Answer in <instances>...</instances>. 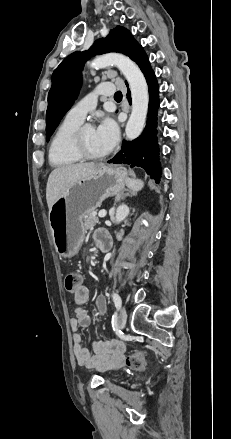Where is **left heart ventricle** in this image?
I'll return each mask as SVG.
<instances>
[{
    "label": "left heart ventricle",
    "mask_w": 231,
    "mask_h": 439,
    "mask_svg": "<svg viewBox=\"0 0 231 439\" xmlns=\"http://www.w3.org/2000/svg\"><path fill=\"white\" fill-rule=\"evenodd\" d=\"M83 142L88 151L93 154H104L105 151L95 136V129L85 128L83 132Z\"/></svg>",
    "instance_id": "left-heart-ventricle-1"
}]
</instances>
